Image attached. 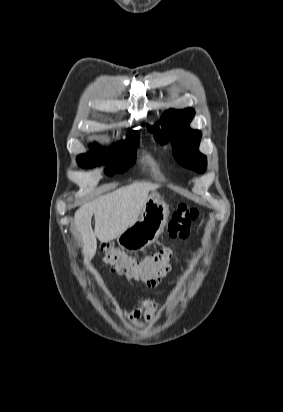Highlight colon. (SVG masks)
<instances>
[{"instance_id":"obj_1","label":"colon","mask_w":283,"mask_h":412,"mask_svg":"<svg viewBox=\"0 0 283 412\" xmlns=\"http://www.w3.org/2000/svg\"><path fill=\"white\" fill-rule=\"evenodd\" d=\"M200 216L201 213L197 208L187 204L179 205L168 223L169 237L171 239L187 238L191 224ZM103 253L104 261L112 266L114 272L150 283H156L166 275L172 257V249L168 246L140 260L129 257L109 245L103 247Z\"/></svg>"}]
</instances>
